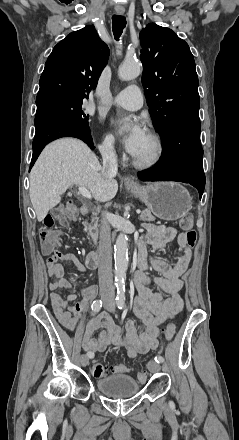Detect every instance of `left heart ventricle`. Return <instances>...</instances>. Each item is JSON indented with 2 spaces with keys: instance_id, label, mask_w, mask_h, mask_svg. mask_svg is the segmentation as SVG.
<instances>
[{
  "instance_id": "b2bd125f",
  "label": "left heart ventricle",
  "mask_w": 239,
  "mask_h": 440,
  "mask_svg": "<svg viewBox=\"0 0 239 440\" xmlns=\"http://www.w3.org/2000/svg\"><path fill=\"white\" fill-rule=\"evenodd\" d=\"M154 154L155 144L152 138L147 134L135 156L142 159H150Z\"/></svg>"
}]
</instances>
